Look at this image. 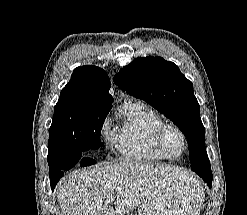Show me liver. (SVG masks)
<instances>
[{"label": "liver", "mask_w": 247, "mask_h": 215, "mask_svg": "<svg viewBox=\"0 0 247 215\" xmlns=\"http://www.w3.org/2000/svg\"><path fill=\"white\" fill-rule=\"evenodd\" d=\"M181 175L179 168L161 164H100L61 179L56 186L57 199L63 215H125L168 180ZM111 195L113 201L109 200Z\"/></svg>", "instance_id": "6515ba94"}]
</instances>
